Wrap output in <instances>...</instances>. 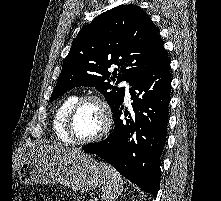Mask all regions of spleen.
<instances>
[{"label": "spleen", "instance_id": "1", "mask_svg": "<svg viewBox=\"0 0 221 201\" xmlns=\"http://www.w3.org/2000/svg\"><path fill=\"white\" fill-rule=\"evenodd\" d=\"M103 168L107 183L102 187V199L104 201H115L123 192V180L120 174L106 162H100Z\"/></svg>", "mask_w": 221, "mask_h": 201}]
</instances>
